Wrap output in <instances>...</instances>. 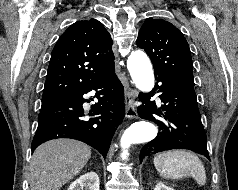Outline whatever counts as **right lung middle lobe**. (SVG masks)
I'll list each match as a JSON object with an SVG mask.
<instances>
[{"label":"right lung middle lobe","instance_id":"1","mask_svg":"<svg viewBox=\"0 0 238 190\" xmlns=\"http://www.w3.org/2000/svg\"><path fill=\"white\" fill-rule=\"evenodd\" d=\"M54 104V103H53ZM48 105H51V104H43L42 103V107H45V106H48Z\"/></svg>","mask_w":238,"mask_h":190}]
</instances>
